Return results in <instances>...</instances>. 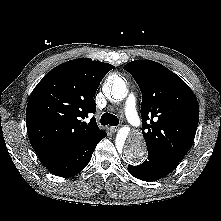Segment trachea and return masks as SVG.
Instances as JSON below:
<instances>
[{
	"instance_id": "1",
	"label": "trachea",
	"mask_w": 221,
	"mask_h": 221,
	"mask_svg": "<svg viewBox=\"0 0 221 221\" xmlns=\"http://www.w3.org/2000/svg\"><path fill=\"white\" fill-rule=\"evenodd\" d=\"M101 125H111V126H117L119 124V119L117 116L109 114V113H104L101 116Z\"/></svg>"
}]
</instances>
